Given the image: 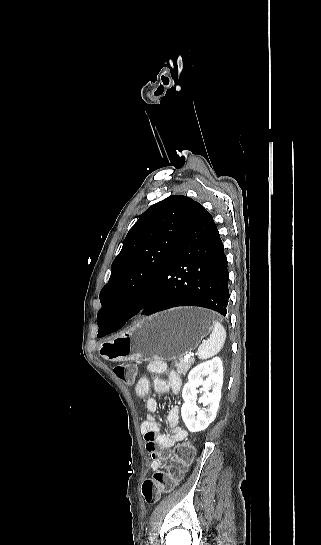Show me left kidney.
<instances>
[{
  "label": "left kidney",
  "mask_w": 321,
  "mask_h": 545,
  "mask_svg": "<svg viewBox=\"0 0 321 545\" xmlns=\"http://www.w3.org/2000/svg\"><path fill=\"white\" fill-rule=\"evenodd\" d=\"M207 377V379H203ZM223 385V365L220 357H214L212 361L200 363L194 367L188 375V383L182 389L181 417L190 433L205 431L210 423H213L219 409L221 389ZM197 387H203L204 391L198 403H202V411H197ZM212 393H208V391Z\"/></svg>",
  "instance_id": "1"
}]
</instances>
